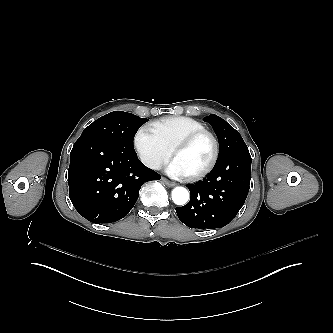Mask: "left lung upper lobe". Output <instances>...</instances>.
Instances as JSON below:
<instances>
[{"label":"left lung upper lobe","instance_id":"left-lung-upper-lobe-1","mask_svg":"<svg viewBox=\"0 0 333 333\" xmlns=\"http://www.w3.org/2000/svg\"><path fill=\"white\" fill-rule=\"evenodd\" d=\"M203 120L211 124L218 137L220 150L217 161L236 151L248 149L239 132L219 116L211 114Z\"/></svg>","mask_w":333,"mask_h":333}]
</instances>
